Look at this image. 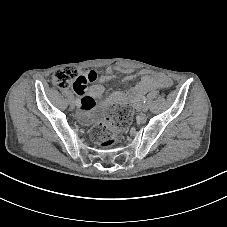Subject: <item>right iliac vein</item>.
I'll list each match as a JSON object with an SVG mask.
<instances>
[{"instance_id":"obj_1","label":"right iliac vein","mask_w":227,"mask_h":227,"mask_svg":"<svg viewBox=\"0 0 227 227\" xmlns=\"http://www.w3.org/2000/svg\"><path fill=\"white\" fill-rule=\"evenodd\" d=\"M70 105H71L72 108H75V106H76V101H72V102L70 103Z\"/></svg>"}]
</instances>
